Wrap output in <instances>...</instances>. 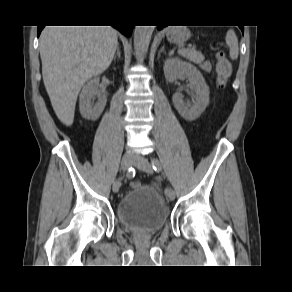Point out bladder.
<instances>
[{"label": "bladder", "mask_w": 292, "mask_h": 292, "mask_svg": "<svg viewBox=\"0 0 292 292\" xmlns=\"http://www.w3.org/2000/svg\"><path fill=\"white\" fill-rule=\"evenodd\" d=\"M116 212L120 225L134 233H157L169 218V207L152 185L130 189L119 200Z\"/></svg>", "instance_id": "31cf9c89"}]
</instances>
